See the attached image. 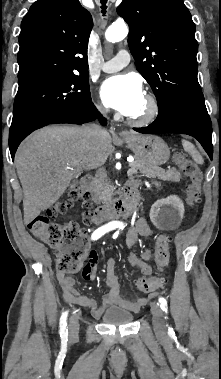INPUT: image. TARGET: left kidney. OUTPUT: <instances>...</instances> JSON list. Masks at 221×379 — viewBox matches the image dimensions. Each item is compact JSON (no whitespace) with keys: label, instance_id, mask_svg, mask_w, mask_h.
Wrapping results in <instances>:
<instances>
[{"label":"left kidney","instance_id":"1","mask_svg":"<svg viewBox=\"0 0 221 379\" xmlns=\"http://www.w3.org/2000/svg\"><path fill=\"white\" fill-rule=\"evenodd\" d=\"M184 211L181 199L172 195L167 200H157L152 205L150 219L159 229H174L180 225Z\"/></svg>","mask_w":221,"mask_h":379}]
</instances>
